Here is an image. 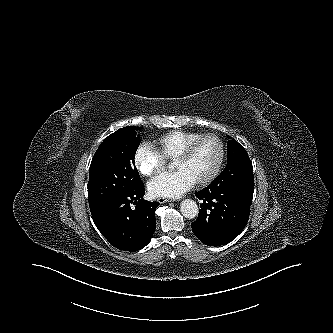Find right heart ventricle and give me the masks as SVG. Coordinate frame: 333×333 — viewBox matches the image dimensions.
<instances>
[{
    "mask_svg": "<svg viewBox=\"0 0 333 333\" xmlns=\"http://www.w3.org/2000/svg\"><path fill=\"white\" fill-rule=\"evenodd\" d=\"M201 135L199 132L173 130L154 140L151 148L163 159L174 160L188 142Z\"/></svg>",
    "mask_w": 333,
    "mask_h": 333,
    "instance_id": "right-heart-ventricle-1",
    "label": "right heart ventricle"
}]
</instances>
